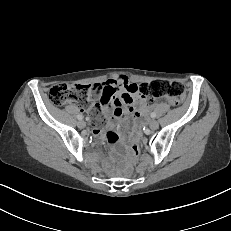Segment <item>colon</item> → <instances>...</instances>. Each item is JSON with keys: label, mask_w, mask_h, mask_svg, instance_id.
Instances as JSON below:
<instances>
[{"label": "colon", "mask_w": 231, "mask_h": 231, "mask_svg": "<svg viewBox=\"0 0 231 231\" xmlns=\"http://www.w3.org/2000/svg\"><path fill=\"white\" fill-rule=\"evenodd\" d=\"M138 92L147 102L166 97L173 105H177L185 95V88L179 82L153 80L141 84L138 87ZM48 98L54 105H63L69 102L86 105L90 110L92 124H101L102 122L101 107L93 102L91 86L57 84L49 90ZM130 154L133 162L136 163L141 154V146L135 139L130 142Z\"/></svg>", "instance_id": "1"}]
</instances>
